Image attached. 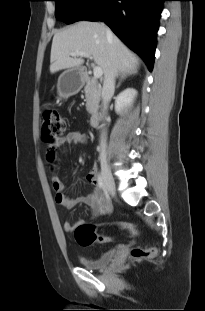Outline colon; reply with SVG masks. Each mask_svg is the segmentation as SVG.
Instances as JSON below:
<instances>
[{"label": "colon", "instance_id": "1", "mask_svg": "<svg viewBox=\"0 0 205 311\" xmlns=\"http://www.w3.org/2000/svg\"><path fill=\"white\" fill-rule=\"evenodd\" d=\"M41 127L43 143L47 146H52L64 137L66 122L58 111L46 110L42 115ZM47 155L50 158L53 156L51 152ZM108 225L103 224L102 226ZM116 226L129 234L135 235L137 233L136 226L132 223L120 222ZM74 236L80 246H89L94 243H109L111 241L110 236L98 233L96 226L86 222L77 225L74 230ZM155 253L156 250L154 248H133L130 251V259L138 262L154 256Z\"/></svg>", "mask_w": 205, "mask_h": 311}]
</instances>
